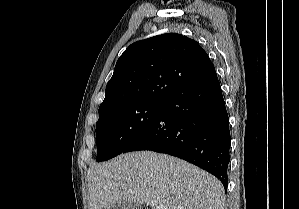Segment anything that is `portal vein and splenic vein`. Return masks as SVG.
Here are the masks:
<instances>
[{
  "mask_svg": "<svg viewBox=\"0 0 299 209\" xmlns=\"http://www.w3.org/2000/svg\"><path fill=\"white\" fill-rule=\"evenodd\" d=\"M149 204H150V206H155L156 205V202L154 201V200H151L150 202H149ZM160 209H167V208H163V207H160Z\"/></svg>",
  "mask_w": 299,
  "mask_h": 209,
  "instance_id": "portal-vein-and-splenic-vein-1",
  "label": "portal vein and splenic vein"
}]
</instances>
